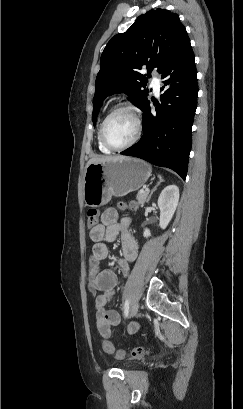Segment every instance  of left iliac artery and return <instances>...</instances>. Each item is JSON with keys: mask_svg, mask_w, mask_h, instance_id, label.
<instances>
[{"mask_svg": "<svg viewBox=\"0 0 243 409\" xmlns=\"http://www.w3.org/2000/svg\"><path fill=\"white\" fill-rule=\"evenodd\" d=\"M129 300L126 299L125 303H124V317L127 318L128 314H129Z\"/></svg>", "mask_w": 243, "mask_h": 409, "instance_id": "44dca946", "label": "left iliac artery"}]
</instances>
